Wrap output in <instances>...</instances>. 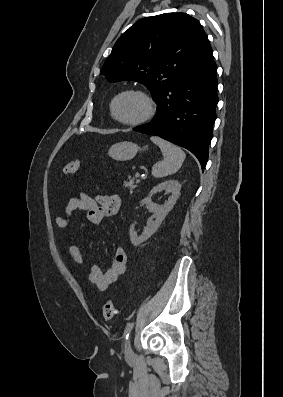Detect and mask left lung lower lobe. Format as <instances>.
Segmentation results:
<instances>
[{"instance_id": "1", "label": "left lung lower lobe", "mask_w": 283, "mask_h": 397, "mask_svg": "<svg viewBox=\"0 0 283 397\" xmlns=\"http://www.w3.org/2000/svg\"><path fill=\"white\" fill-rule=\"evenodd\" d=\"M217 65L213 51L189 65L158 101L154 119L133 130L159 136L191 151L202 170L216 119Z\"/></svg>"}]
</instances>
